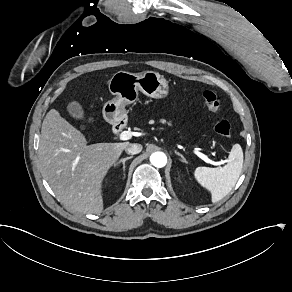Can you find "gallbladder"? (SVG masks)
Returning <instances> with one entry per match:
<instances>
[{"label":"gallbladder","mask_w":292,"mask_h":292,"mask_svg":"<svg viewBox=\"0 0 292 292\" xmlns=\"http://www.w3.org/2000/svg\"><path fill=\"white\" fill-rule=\"evenodd\" d=\"M67 114L75 120L87 122V115L82 104L78 100H71L66 105Z\"/></svg>","instance_id":"gallbladder-1"}]
</instances>
